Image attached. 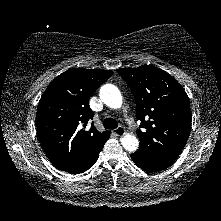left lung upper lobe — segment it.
Listing matches in <instances>:
<instances>
[{"label":"left lung upper lobe","mask_w":221,"mask_h":221,"mask_svg":"<svg viewBox=\"0 0 221 221\" xmlns=\"http://www.w3.org/2000/svg\"><path fill=\"white\" fill-rule=\"evenodd\" d=\"M136 101V117L142 130L138 151L177 158L191 130L189 98L182 86L162 69L142 65L116 70Z\"/></svg>","instance_id":"obj_1"}]
</instances>
